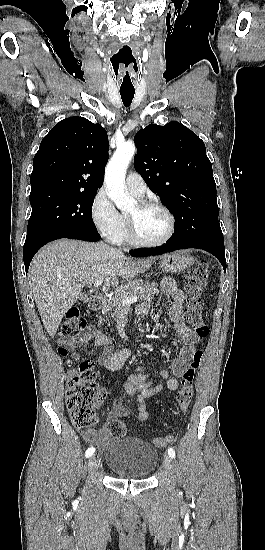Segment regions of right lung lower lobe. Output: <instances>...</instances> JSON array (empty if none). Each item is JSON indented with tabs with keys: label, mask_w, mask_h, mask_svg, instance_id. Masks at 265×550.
<instances>
[{
	"label": "right lung lower lobe",
	"mask_w": 265,
	"mask_h": 550,
	"mask_svg": "<svg viewBox=\"0 0 265 550\" xmlns=\"http://www.w3.org/2000/svg\"><path fill=\"white\" fill-rule=\"evenodd\" d=\"M60 238L79 239V240L95 242V241H98L101 237L98 233H89V232H83V231H62L46 240L40 241L34 246H31L30 248L23 250L24 265H25L26 273L28 272L30 262L33 256L35 255V253L43 245L47 244L50 241L60 239Z\"/></svg>",
	"instance_id": "obj_1"
}]
</instances>
